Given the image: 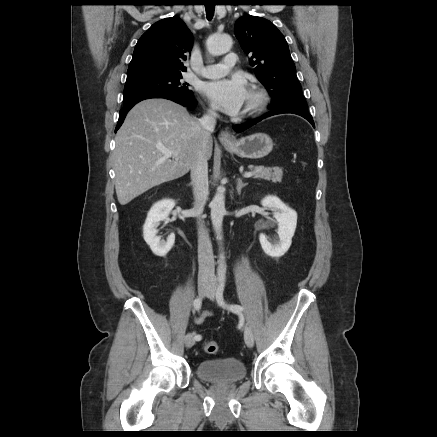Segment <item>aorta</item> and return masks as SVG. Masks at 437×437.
Segmentation results:
<instances>
[{
  "mask_svg": "<svg viewBox=\"0 0 437 437\" xmlns=\"http://www.w3.org/2000/svg\"><path fill=\"white\" fill-rule=\"evenodd\" d=\"M210 54L218 56L227 53L232 47V38L227 35H212L206 42ZM211 221L218 241L222 240V224L225 215V188L219 187L210 203ZM224 253H220L218 261V275L224 277L226 274Z\"/></svg>",
  "mask_w": 437,
  "mask_h": 437,
  "instance_id": "obj_1",
  "label": "aorta"
}]
</instances>
